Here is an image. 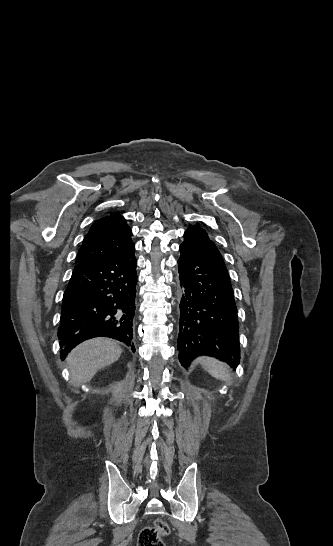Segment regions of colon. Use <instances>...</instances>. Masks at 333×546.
Listing matches in <instances>:
<instances>
[{"label": "colon", "mask_w": 333, "mask_h": 546, "mask_svg": "<svg viewBox=\"0 0 333 546\" xmlns=\"http://www.w3.org/2000/svg\"><path fill=\"white\" fill-rule=\"evenodd\" d=\"M169 529L167 524L158 519L155 521L153 527L144 528L138 538L139 546H165L162 537L168 533Z\"/></svg>", "instance_id": "obj_1"}]
</instances>
